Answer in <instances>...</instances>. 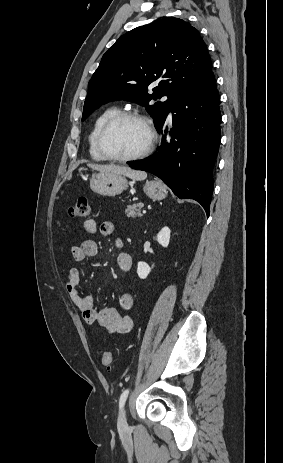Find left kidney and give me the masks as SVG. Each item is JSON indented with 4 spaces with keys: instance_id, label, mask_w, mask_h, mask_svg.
Listing matches in <instances>:
<instances>
[{
    "instance_id": "left-kidney-1",
    "label": "left kidney",
    "mask_w": 283,
    "mask_h": 463,
    "mask_svg": "<svg viewBox=\"0 0 283 463\" xmlns=\"http://www.w3.org/2000/svg\"><path fill=\"white\" fill-rule=\"evenodd\" d=\"M170 229L165 226L163 227L160 232L157 234V242L164 248L169 245L170 242ZM151 271L150 266L146 262H138L137 264V274L139 278L145 279Z\"/></svg>"
}]
</instances>
